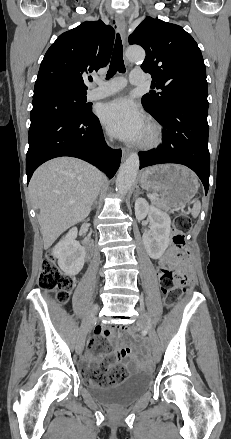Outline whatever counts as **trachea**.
<instances>
[{
  "instance_id": "1",
  "label": "trachea",
  "mask_w": 231,
  "mask_h": 439,
  "mask_svg": "<svg viewBox=\"0 0 231 439\" xmlns=\"http://www.w3.org/2000/svg\"><path fill=\"white\" fill-rule=\"evenodd\" d=\"M119 71L124 73L126 71L124 61H123V46L118 34L116 37V42L113 50V55L110 63V67L107 73V79L113 77L116 72Z\"/></svg>"
}]
</instances>
